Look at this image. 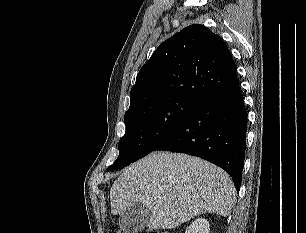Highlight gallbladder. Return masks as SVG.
Listing matches in <instances>:
<instances>
[{
  "label": "gallbladder",
  "instance_id": "1",
  "mask_svg": "<svg viewBox=\"0 0 306 233\" xmlns=\"http://www.w3.org/2000/svg\"><path fill=\"white\" fill-rule=\"evenodd\" d=\"M149 216L147 207L135 204L120 215L119 226L125 233H138L147 225Z\"/></svg>",
  "mask_w": 306,
  "mask_h": 233
}]
</instances>
